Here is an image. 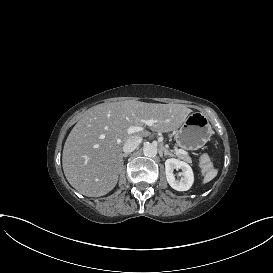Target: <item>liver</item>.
I'll return each instance as SVG.
<instances>
[{
  "label": "liver",
  "mask_w": 273,
  "mask_h": 273,
  "mask_svg": "<svg viewBox=\"0 0 273 273\" xmlns=\"http://www.w3.org/2000/svg\"><path fill=\"white\" fill-rule=\"evenodd\" d=\"M192 112L182 104H148L126 100L99 104L89 109L71 130L63 150V170L69 183L80 193L98 197L117 183L122 162V148L132 136H147L148 131L134 135L130 126L142 127L155 120L151 129L168 132L180 127Z\"/></svg>",
  "instance_id": "liver-1"
}]
</instances>
